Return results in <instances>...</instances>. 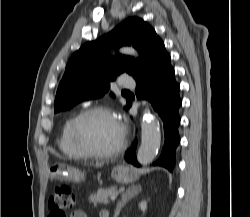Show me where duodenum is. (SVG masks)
Returning a JSON list of instances; mask_svg holds the SVG:
<instances>
[{
  "label": "duodenum",
  "instance_id": "obj_1",
  "mask_svg": "<svg viewBox=\"0 0 250 217\" xmlns=\"http://www.w3.org/2000/svg\"><path fill=\"white\" fill-rule=\"evenodd\" d=\"M101 217H109V213L107 211H102Z\"/></svg>",
  "mask_w": 250,
  "mask_h": 217
}]
</instances>
